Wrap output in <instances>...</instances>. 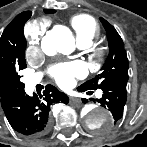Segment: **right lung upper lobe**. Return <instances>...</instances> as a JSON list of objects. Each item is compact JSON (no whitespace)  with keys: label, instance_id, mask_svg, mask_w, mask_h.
Instances as JSON below:
<instances>
[{"label":"right lung upper lobe","instance_id":"right-lung-upper-lobe-1","mask_svg":"<svg viewBox=\"0 0 147 147\" xmlns=\"http://www.w3.org/2000/svg\"><path fill=\"white\" fill-rule=\"evenodd\" d=\"M24 12L17 15L4 30L0 38V96L1 104L14 98L7 89L6 79L9 73L22 62L26 45L19 29Z\"/></svg>","mask_w":147,"mask_h":147}]
</instances>
